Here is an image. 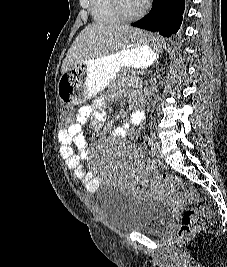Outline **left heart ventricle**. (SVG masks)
<instances>
[{
    "mask_svg": "<svg viewBox=\"0 0 227 267\" xmlns=\"http://www.w3.org/2000/svg\"><path fill=\"white\" fill-rule=\"evenodd\" d=\"M122 5L124 10L130 14L137 12L142 7L138 0H122Z\"/></svg>",
    "mask_w": 227,
    "mask_h": 267,
    "instance_id": "obj_1",
    "label": "left heart ventricle"
}]
</instances>
